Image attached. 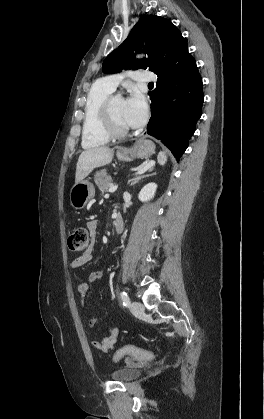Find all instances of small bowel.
<instances>
[{"label":"small bowel","mask_w":264,"mask_h":419,"mask_svg":"<svg viewBox=\"0 0 264 419\" xmlns=\"http://www.w3.org/2000/svg\"><path fill=\"white\" fill-rule=\"evenodd\" d=\"M96 227H97V222L95 220H91L87 223V228L92 235H94ZM92 253H93V248L89 247L86 250V252H84L82 255L78 256L77 258L73 260L72 267L81 268L84 265H86L92 259ZM103 277H104V273L101 271H97L91 274L87 280L81 281L78 284L77 290L82 300H84L87 297L90 290L92 289L94 282L97 279H100ZM97 322H98V319L96 317H92L88 321V326L90 328H94L97 325ZM119 334H120V330L118 328H111L106 332V334L102 338H93L91 340V344L95 349L106 354L115 348L118 341Z\"/></svg>","instance_id":"1"}]
</instances>
